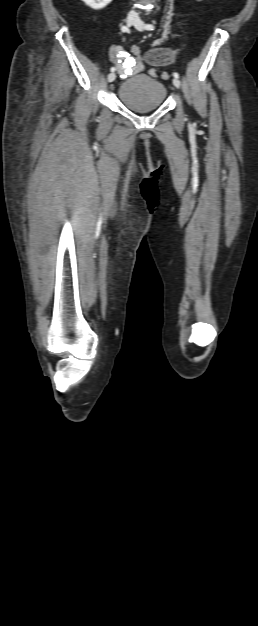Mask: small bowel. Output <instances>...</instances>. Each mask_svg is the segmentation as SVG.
I'll return each mask as SVG.
<instances>
[{
  "mask_svg": "<svg viewBox=\"0 0 258 626\" xmlns=\"http://www.w3.org/2000/svg\"><path fill=\"white\" fill-rule=\"evenodd\" d=\"M163 45H164V42H163V41H160V42H158V43L156 44V48H158V47H163ZM109 56H110V59H111L114 63H116V65L118 66V68H119V69H121V70H126V69H128V68H127V64H128L130 61H134V62H136V59H135V58L131 57V56H130L127 52L123 51V50H122V49H120L118 46H112V47L110 48V50H109ZM149 73H150V75H151V76H154V77H156V76H157V71H156V69H151V70L149 71ZM161 76H162L164 79H167V78H168V75H167L166 73H162V74H161Z\"/></svg>",
  "mask_w": 258,
  "mask_h": 626,
  "instance_id": "1",
  "label": "small bowel"
}]
</instances>
